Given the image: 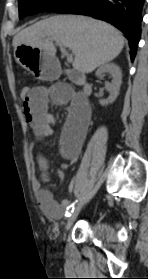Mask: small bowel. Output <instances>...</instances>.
Returning a JSON list of instances; mask_svg holds the SVG:
<instances>
[{
    "instance_id": "c3829d8e",
    "label": "small bowel",
    "mask_w": 148,
    "mask_h": 279,
    "mask_svg": "<svg viewBox=\"0 0 148 279\" xmlns=\"http://www.w3.org/2000/svg\"><path fill=\"white\" fill-rule=\"evenodd\" d=\"M70 105L69 114L60 134L59 151L68 162L58 169L61 179L66 177V169L77 161L91 122V109L86 99L76 94L72 88L63 83L48 87L39 86L31 89L28 101H23V110L27 122L39 137H50L54 133V119L48 112L49 104ZM35 149V147H34ZM42 168L45 162L40 159ZM40 209L55 218L62 216L70 201L56 200L53 194L44 188L40 180L33 182ZM73 189L71 185L70 190Z\"/></svg>"
}]
</instances>
